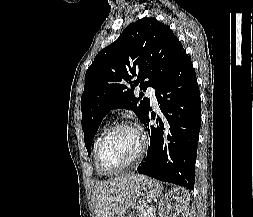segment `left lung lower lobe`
Here are the masks:
<instances>
[{"instance_id":"obj_1","label":"left lung lower lobe","mask_w":253,"mask_h":217,"mask_svg":"<svg viewBox=\"0 0 253 217\" xmlns=\"http://www.w3.org/2000/svg\"><path fill=\"white\" fill-rule=\"evenodd\" d=\"M161 116L149 126L150 110L142 121L150 132L145 159L135 170L161 181L194 189L195 160L201 125V101L196 74L186 52L156 88Z\"/></svg>"}]
</instances>
